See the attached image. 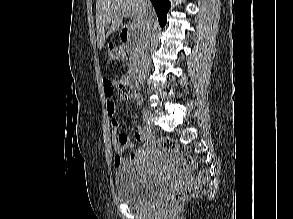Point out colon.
Masks as SVG:
<instances>
[{
  "label": "colon",
  "instance_id": "1",
  "mask_svg": "<svg viewBox=\"0 0 293 219\" xmlns=\"http://www.w3.org/2000/svg\"><path fill=\"white\" fill-rule=\"evenodd\" d=\"M107 56L110 63H118L127 57L126 49L122 46L109 45L107 47ZM118 93L121 97L126 98L128 91L125 86L118 84ZM160 148L178 158V160L187 168L193 169L195 167V160L187 153H180L179 145L176 140L170 137H163L159 139ZM209 179V174L206 171H201L197 178L193 181L185 182L180 187L176 188L167 200L170 206H176L191 197L199 187L206 183Z\"/></svg>",
  "mask_w": 293,
  "mask_h": 219
}]
</instances>
